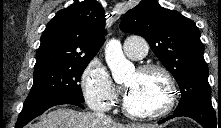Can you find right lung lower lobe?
Wrapping results in <instances>:
<instances>
[{"instance_id": "obj_1", "label": "right lung lower lobe", "mask_w": 221, "mask_h": 128, "mask_svg": "<svg viewBox=\"0 0 221 128\" xmlns=\"http://www.w3.org/2000/svg\"><path fill=\"white\" fill-rule=\"evenodd\" d=\"M61 104H72V105H77L83 108V105L81 102H78L76 100L69 99V98L55 97V98L46 99L44 101H41L32 105L23 106V109L16 123V128H22L32 119L42 114L50 107H53L55 105H61Z\"/></svg>"}]
</instances>
